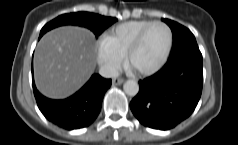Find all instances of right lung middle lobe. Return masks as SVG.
Listing matches in <instances>:
<instances>
[{"label":"right lung middle lobe","mask_w":238,"mask_h":145,"mask_svg":"<svg viewBox=\"0 0 238 145\" xmlns=\"http://www.w3.org/2000/svg\"><path fill=\"white\" fill-rule=\"evenodd\" d=\"M116 18L105 17L89 12H77L63 14L47 23L40 32V37L47 31L62 25H78L90 29L96 38L110 25L116 22Z\"/></svg>","instance_id":"obj_1"}]
</instances>
